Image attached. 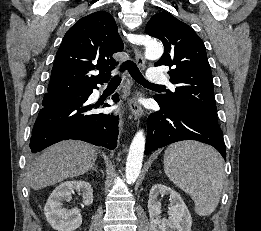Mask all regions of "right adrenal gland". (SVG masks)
Here are the masks:
<instances>
[{
    "mask_svg": "<svg viewBox=\"0 0 261 231\" xmlns=\"http://www.w3.org/2000/svg\"><path fill=\"white\" fill-rule=\"evenodd\" d=\"M92 170H94V171L98 172L97 166H96V165H94V166L92 167Z\"/></svg>",
    "mask_w": 261,
    "mask_h": 231,
    "instance_id": "right-adrenal-gland-1",
    "label": "right adrenal gland"
}]
</instances>
